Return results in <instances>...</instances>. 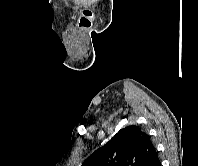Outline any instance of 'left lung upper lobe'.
I'll return each instance as SVG.
<instances>
[{"instance_id":"left-lung-upper-lobe-1","label":"left lung upper lobe","mask_w":198,"mask_h":166,"mask_svg":"<svg viewBox=\"0 0 198 166\" xmlns=\"http://www.w3.org/2000/svg\"><path fill=\"white\" fill-rule=\"evenodd\" d=\"M156 156L149 135L131 125L97 149L82 166H150Z\"/></svg>"}]
</instances>
